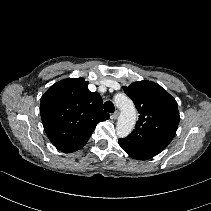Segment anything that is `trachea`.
<instances>
[{"label": "trachea", "instance_id": "trachea-1", "mask_svg": "<svg viewBox=\"0 0 211 211\" xmlns=\"http://www.w3.org/2000/svg\"><path fill=\"white\" fill-rule=\"evenodd\" d=\"M103 107L104 110L108 113H113L115 111L114 104L111 101H106Z\"/></svg>", "mask_w": 211, "mask_h": 211}]
</instances>
